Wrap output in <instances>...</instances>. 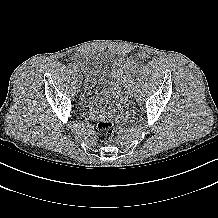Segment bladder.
I'll use <instances>...</instances> for the list:
<instances>
[{"label": "bladder", "instance_id": "31cf9c89", "mask_svg": "<svg viewBox=\"0 0 218 218\" xmlns=\"http://www.w3.org/2000/svg\"><path fill=\"white\" fill-rule=\"evenodd\" d=\"M76 65L84 76L81 99L85 107L98 114H110L130 65L125 59L88 53H80Z\"/></svg>", "mask_w": 218, "mask_h": 218}]
</instances>
